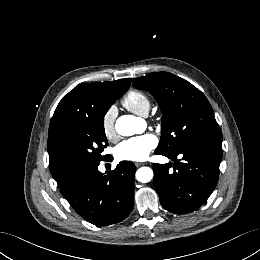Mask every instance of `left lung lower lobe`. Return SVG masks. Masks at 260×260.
Here are the masks:
<instances>
[{
  "label": "left lung lower lobe",
  "instance_id": "1",
  "mask_svg": "<svg viewBox=\"0 0 260 260\" xmlns=\"http://www.w3.org/2000/svg\"><path fill=\"white\" fill-rule=\"evenodd\" d=\"M155 154L176 161L173 164H152L153 183L161 205L175 214L199 208L217 184L222 159L221 143H195L172 153L155 151ZM178 155L181 160H177Z\"/></svg>",
  "mask_w": 260,
  "mask_h": 260
}]
</instances>
